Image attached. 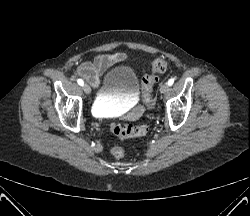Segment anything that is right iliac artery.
<instances>
[{
	"mask_svg": "<svg viewBox=\"0 0 250 216\" xmlns=\"http://www.w3.org/2000/svg\"><path fill=\"white\" fill-rule=\"evenodd\" d=\"M77 83H78L80 86H83V85H84V82H83L82 79H78V80H77Z\"/></svg>",
	"mask_w": 250,
	"mask_h": 216,
	"instance_id": "82829eb1",
	"label": "right iliac artery"
}]
</instances>
